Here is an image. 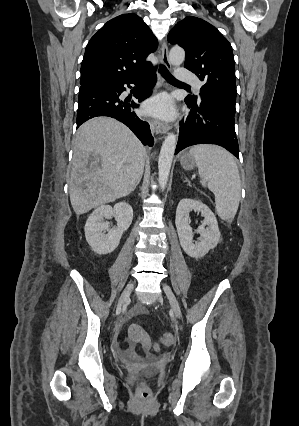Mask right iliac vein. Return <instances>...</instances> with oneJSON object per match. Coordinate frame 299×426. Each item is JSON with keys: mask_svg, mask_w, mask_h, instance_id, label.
<instances>
[{"mask_svg": "<svg viewBox=\"0 0 299 426\" xmlns=\"http://www.w3.org/2000/svg\"><path fill=\"white\" fill-rule=\"evenodd\" d=\"M133 288H134V285H133L132 283H131V284H128V285L126 286L125 290H124V291H123V293L121 294V297H120V299H119V301H118V305H117V308H118V309H120V308L122 307V305H123L126 301H128V299H129V297H130V294H131V292H132Z\"/></svg>", "mask_w": 299, "mask_h": 426, "instance_id": "63e3f726", "label": "right iliac vein"}]
</instances>
